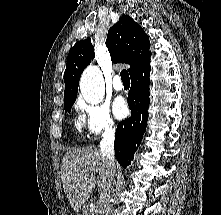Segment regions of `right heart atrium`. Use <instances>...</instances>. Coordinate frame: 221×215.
<instances>
[{
	"mask_svg": "<svg viewBox=\"0 0 221 215\" xmlns=\"http://www.w3.org/2000/svg\"><path fill=\"white\" fill-rule=\"evenodd\" d=\"M76 109L84 118V127L89 136L95 138L114 132L115 123L107 105L79 98Z\"/></svg>",
	"mask_w": 221,
	"mask_h": 215,
	"instance_id": "right-heart-atrium-1",
	"label": "right heart atrium"
}]
</instances>
